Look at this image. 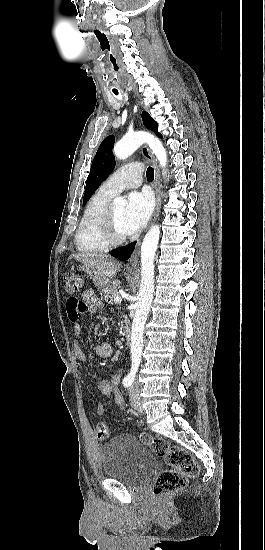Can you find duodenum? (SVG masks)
I'll return each mask as SVG.
<instances>
[{"label":"duodenum","instance_id":"duodenum-1","mask_svg":"<svg viewBox=\"0 0 265 550\" xmlns=\"http://www.w3.org/2000/svg\"><path fill=\"white\" fill-rule=\"evenodd\" d=\"M124 338H125V342L130 345L131 344V330H130V327L128 325L125 326V329H124Z\"/></svg>","mask_w":265,"mask_h":550}]
</instances>
